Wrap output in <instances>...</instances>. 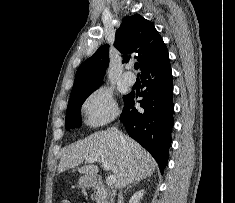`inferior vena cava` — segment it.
<instances>
[{"label":"inferior vena cava","instance_id":"602c4592","mask_svg":"<svg viewBox=\"0 0 235 203\" xmlns=\"http://www.w3.org/2000/svg\"><path fill=\"white\" fill-rule=\"evenodd\" d=\"M113 131L118 134L120 133L116 128H113ZM121 138H122V135H121ZM122 199H123L122 192H120L118 195V203H122Z\"/></svg>","mask_w":235,"mask_h":203}]
</instances>
